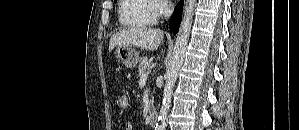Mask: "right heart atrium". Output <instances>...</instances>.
Segmentation results:
<instances>
[{"instance_id": "obj_1", "label": "right heart atrium", "mask_w": 299, "mask_h": 130, "mask_svg": "<svg viewBox=\"0 0 299 130\" xmlns=\"http://www.w3.org/2000/svg\"><path fill=\"white\" fill-rule=\"evenodd\" d=\"M169 12V4L166 1H157L156 15L157 17L165 16Z\"/></svg>"}]
</instances>
